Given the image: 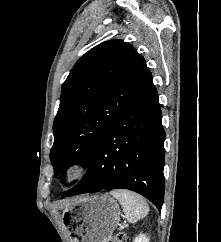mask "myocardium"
I'll return each mask as SVG.
<instances>
[{"label":"myocardium","mask_w":221,"mask_h":242,"mask_svg":"<svg viewBox=\"0 0 221 242\" xmlns=\"http://www.w3.org/2000/svg\"><path fill=\"white\" fill-rule=\"evenodd\" d=\"M83 168V164L80 160L71 161L65 164L61 171V176L64 181L73 180Z\"/></svg>","instance_id":"1"}]
</instances>
